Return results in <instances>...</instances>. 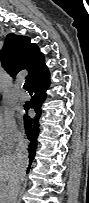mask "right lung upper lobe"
<instances>
[{"label": "right lung upper lobe", "mask_w": 89, "mask_h": 203, "mask_svg": "<svg viewBox=\"0 0 89 203\" xmlns=\"http://www.w3.org/2000/svg\"><path fill=\"white\" fill-rule=\"evenodd\" d=\"M2 67L12 76L21 70H27L26 82H31L48 70L44 62V55L36 44L30 42V38L8 34L3 48L0 50Z\"/></svg>", "instance_id": "right-lung-upper-lobe-1"}]
</instances>
